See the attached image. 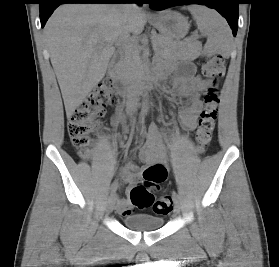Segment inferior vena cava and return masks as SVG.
I'll return each mask as SVG.
<instances>
[{"mask_svg":"<svg viewBox=\"0 0 279 267\" xmlns=\"http://www.w3.org/2000/svg\"><path fill=\"white\" fill-rule=\"evenodd\" d=\"M119 7L122 9L123 13L126 16H129L130 13L138 9V6L135 3H124L121 4Z\"/></svg>","mask_w":279,"mask_h":267,"instance_id":"1","label":"inferior vena cava"}]
</instances>
